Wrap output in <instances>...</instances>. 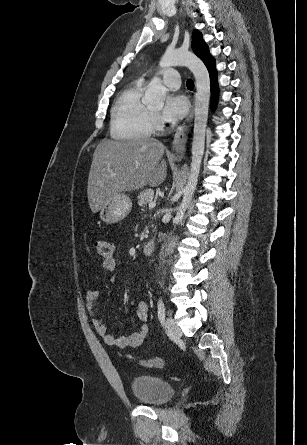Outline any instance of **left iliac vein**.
<instances>
[{
    "label": "left iliac vein",
    "instance_id": "4c4485c4",
    "mask_svg": "<svg viewBox=\"0 0 307 445\" xmlns=\"http://www.w3.org/2000/svg\"><path fill=\"white\" fill-rule=\"evenodd\" d=\"M165 329L169 337L179 338L182 335L180 328L175 320L171 317H167L165 321Z\"/></svg>",
    "mask_w": 307,
    "mask_h": 445
}]
</instances>
